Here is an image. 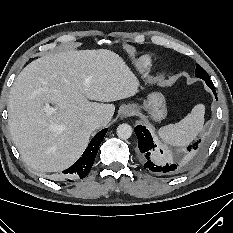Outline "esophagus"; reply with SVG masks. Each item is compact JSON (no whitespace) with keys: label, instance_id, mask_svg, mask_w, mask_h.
<instances>
[{"label":"esophagus","instance_id":"obj_1","mask_svg":"<svg viewBox=\"0 0 233 233\" xmlns=\"http://www.w3.org/2000/svg\"><path fill=\"white\" fill-rule=\"evenodd\" d=\"M135 114V109L132 106H127L124 110H123V116L124 117H129Z\"/></svg>","mask_w":233,"mask_h":233}]
</instances>
